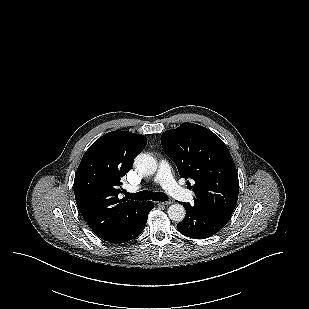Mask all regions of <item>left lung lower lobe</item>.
Returning <instances> with one entry per match:
<instances>
[{"label":"left lung lower lobe","instance_id":"0a47b994","mask_svg":"<svg viewBox=\"0 0 309 309\" xmlns=\"http://www.w3.org/2000/svg\"><path fill=\"white\" fill-rule=\"evenodd\" d=\"M183 205L186 209V216L177 228L180 233L190 238L211 237L225 226L231 216L198 201H194L193 205L189 203Z\"/></svg>","mask_w":309,"mask_h":309}]
</instances>
